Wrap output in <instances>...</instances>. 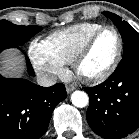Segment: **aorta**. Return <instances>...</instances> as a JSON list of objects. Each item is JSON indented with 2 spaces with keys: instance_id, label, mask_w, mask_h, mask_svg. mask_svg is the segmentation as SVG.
I'll return each mask as SVG.
<instances>
[{
  "instance_id": "1",
  "label": "aorta",
  "mask_w": 139,
  "mask_h": 139,
  "mask_svg": "<svg viewBox=\"0 0 139 139\" xmlns=\"http://www.w3.org/2000/svg\"><path fill=\"white\" fill-rule=\"evenodd\" d=\"M71 102L78 108H83L88 105L89 97L84 91H74L71 95Z\"/></svg>"
}]
</instances>
